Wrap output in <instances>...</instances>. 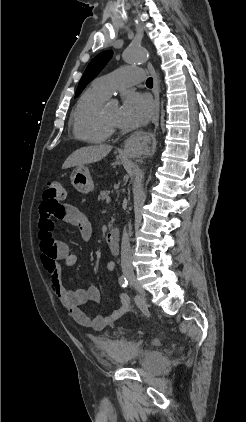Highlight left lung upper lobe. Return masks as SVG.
Instances as JSON below:
<instances>
[{"instance_id":"obj_1","label":"left lung upper lobe","mask_w":246,"mask_h":422,"mask_svg":"<svg viewBox=\"0 0 246 422\" xmlns=\"http://www.w3.org/2000/svg\"><path fill=\"white\" fill-rule=\"evenodd\" d=\"M113 52L107 50L98 54L95 58L91 60L88 64L76 90L75 97H78L83 89L91 82L99 72L104 68L107 62L111 59Z\"/></svg>"}]
</instances>
